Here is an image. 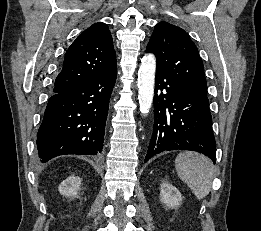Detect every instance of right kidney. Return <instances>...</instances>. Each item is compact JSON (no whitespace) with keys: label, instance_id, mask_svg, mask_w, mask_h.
<instances>
[{"label":"right kidney","instance_id":"ca27d5eb","mask_svg":"<svg viewBox=\"0 0 261 231\" xmlns=\"http://www.w3.org/2000/svg\"><path fill=\"white\" fill-rule=\"evenodd\" d=\"M82 179L78 176H69L61 182L58 187L59 192L66 197H77V193L80 190Z\"/></svg>","mask_w":261,"mask_h":231}]
</instances>
